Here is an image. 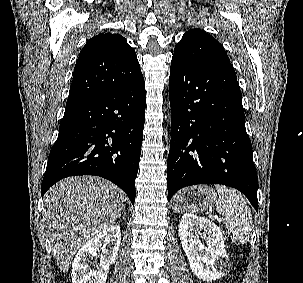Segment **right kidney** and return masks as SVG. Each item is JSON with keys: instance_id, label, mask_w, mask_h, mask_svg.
Masks as SVG:
<instances>
[{"instance_id": "right-kidney-1", "label": "right kidney", "mask_w": 303, "mask_h": 283, "mask_svg": "<svg viewBox=\"0 0 303 283\" xmlns=\"http://www.w3.org/2000/svg\"><path fill=\"white\" fill-rule=\"evenodd\" d=\"M121 241L119 226H110L90 238L78 251L72 264V283H106L109 266L114 264ZM99 248L102 252L100 264L96 270H89V258Z\"/></svg>"}]
</instances>
